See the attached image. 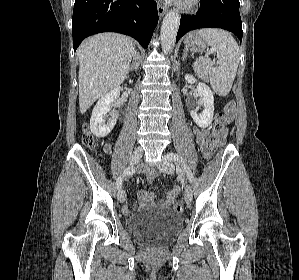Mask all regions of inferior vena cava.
Listing matches in <instances>:
<instances>
[{
	"instance_id": "602c4592",
	"label": "inferior vena cava",
	"mask_w": 299,
	"mask_h": 280,
	"mask_svg": "<svg viewBox=\"0 0 299 280\" xmlns=\"http://www.w3.org/2000/svg\"><path fill=\"white\" fill-rule=\"evenodd\" d=\"M135 59H137V53H135V55H134V60ZM133 66H134L135 69H137L138 68V63L135 62Z\"/></svg>"
}]
</instances>
